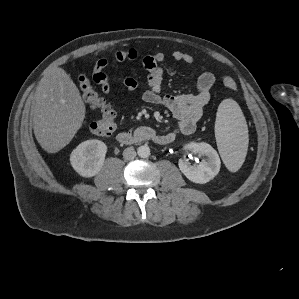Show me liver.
<instances>
[{
	"label": "liver",
	"mask_w": 299,
	"mask_h": 299,
	"mask_svg": "<svg viewBox=\"0 0 299 299\" xmlns=\"http://www.w3.org/2000/svg\"><path fill=\"white\" fill-rule=\"evenodd\" d=\"M33 129L40 146L56 153L68 145L85 118L80 92L64 69L49 67L34 96Z\"/></svg>",
	"instance_id": "obj_1"
}]
</instances>
